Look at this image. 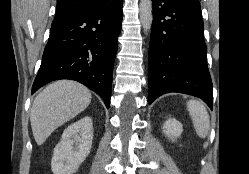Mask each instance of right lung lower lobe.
<instances>
[{"mask_svg": "<svg viewBox=\"0 0 249 174\" xmlns=\"http://www.w3.org/2000/svg\"><path fill=\"white\" fill-rule=\"evenodd\" d=\"M123 0L53 22L32 94L59 79L78 81L110 105Z\"/></svg>", "mask_w": 249, "mask_h": 174, "instance_id": "1", "label": "right lung lower lobe"}]
</instances>
